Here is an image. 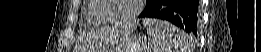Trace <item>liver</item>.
Here are the masks:
<instances>
[{"mask_svg":"<svg viewBox=\"0 0 261 52\" xmlns=\"http://www.w3.org/2000/svg\"><path fill=\"white\" fill-rule=\"evenodd\" d=\"M132 30V27L131 28H127L126 30H125V34H127V33H129L130 31ZM106 33V29H102L101 31H100V34H105ZM114 36H116V34L114 33ZM111 37V36H110ZM108 40V39H107ZM105 41H106V39H105Z\"/></svg>","mask_w":261,"mask_h":52,"instance_id":"1","label":"liver"}]
</instances>
